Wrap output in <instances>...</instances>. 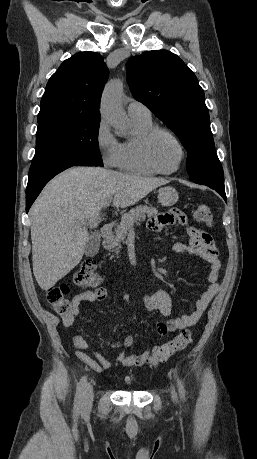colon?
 Instances as JSON below:
<instances>
[{
  "label": "colon",
  "instance_id": "1",
  "mask_svg": "<svg viewBox=\"0 0 257 459\" xmlns=\"http://www.w3.org/2000/svg\"><path fill=\"white\" fill-rule=\"evenodd\" d=\"M197 222L210 225L212 222V211L209 205L203 203L197 206L194 212ZM74 281L77 285L87 288L93 287L100 281L96 271V264L92 260H84L74 273ZM69 288L62 284L48 288L45 291V299L54 311L61 316H68L74 312L76 305L73 299L68 297ZM192 341V334L189 330L180 332L171 341L155 347L148 357V362L155 366L166 361L175 353L185 349Z\"/></svg>",
  "mask_w": 257,
  "mask_h": 459
}]
</instances>
